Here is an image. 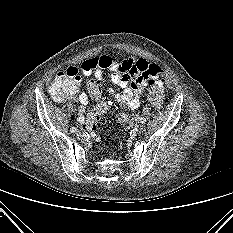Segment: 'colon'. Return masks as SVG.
Instances as JSON below:
<instances>
[{
	"instance_id": "colon-1",
	"label": "colon",
	"mask_w": 233,
	"mask_h": 233,
	"mask_svg": "<svg viewBox=\"0 0 233 233\" xmlns=\"http://www.w3.org/2000/svg\"><path fill=\"white\" fill-rule=\"evenodd\" d=\"M87 90L90 97L97 100V104L89 112L84 127L87 131L93 132L96 129L102 115H104L110 103L102 99V88L100 82L96 79L88 80ZM50 95L56 101L67 100L74 92L73 79L66 72H59L49 88ZM163 88L156 80H149L148 100L154 108H160L163 104Z\"/></svg>"
}]
</instances>
